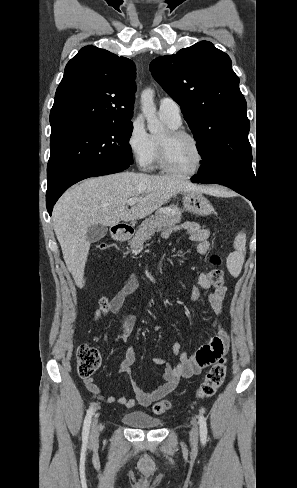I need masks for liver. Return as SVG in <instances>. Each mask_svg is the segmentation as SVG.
<instances>
[{"label": "liver", "mask_w": 297, "mask_h": 488, "mask_svg": "<svg viewBox=\"0 0 297 488\" xmlns=\"http://www.w3.org/2000/svg\"><path fill=\"white\" fill-rule=\"evenodd\" d=\"M183 191L211 192L176 176H153L122 172L91 178L75 185L56 203L52 222L63 258L75 284L82 289L90 249L88 227L113 226L120 221L139 220L151 215L172 196ZM140 199L130 209L127 201Z\"/></svg>", "instance_id": "liver-1"}]
</instances>
